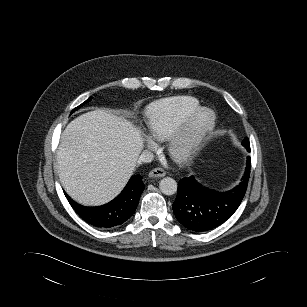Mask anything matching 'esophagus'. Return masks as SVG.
<instances>
[{"label": "esophagus", "instance_id": "obj_1", "mask_svg": "<svg viewBox=\"0 0 307 307\" xmlns=\"http://www.w3.org/2000/svg\"><path fill=\"white\" fill-rule=\"evenodd\" d=\"M166 175V172L162 168H154L149 172V177L151 178H161Z\"/></svg>", "mask_w": 307, "mask_h": 307}]
</instances>
